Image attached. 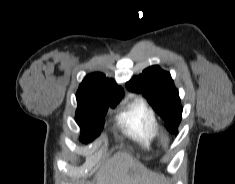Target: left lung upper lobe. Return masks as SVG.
<instances>
[{
	"instance_id": "5c2ea615",
	"label": "left lung upper lobe",
	"mask_w": 235,
	"mask_h": 184,
	"mask_svg": "<svg viewBox=\"0 0 235 184\" xmlns=\"http://www.w3.org/2000/svg\"><path fill=\"white\" fill-rule=\"evenodd\" d=\"M129 91L142 93L153 109L165 121L169 132L177 133L182 117V107L174 82L169 72L154 65L126 83Z\"/></svg>"
}]
</instances>
